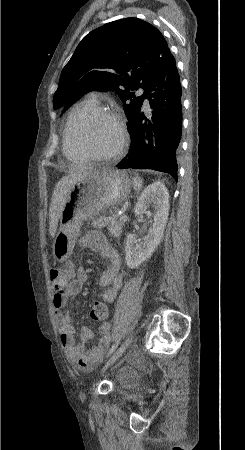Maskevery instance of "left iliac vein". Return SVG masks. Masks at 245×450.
<instances>
[{
	"label": "left iliac vein",
	"instance_id": "4c4485c4",
	"mask_svg": "<svg viewBox=\"0 0 245 450\" xmlns=\"http://www.w3.org/2000/svg\"><path fill=\"white\" fill-rule=\"evenodd\" d=\"M132 340H133V337L129 336L122 343V345L118 348V350L116 352H114V354L110 357V359L108 360L106 365L103 367L102 373H104L108 369L109 366H111L118 358H120L123 355V353L127 350L129 345L131 344Z\"/></svg>",
	"mask_w": 245,
	"mask_h": 450
}]
</instances>
